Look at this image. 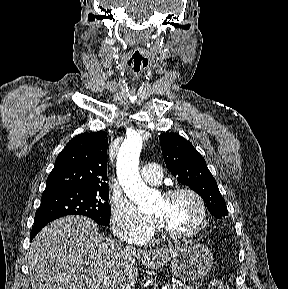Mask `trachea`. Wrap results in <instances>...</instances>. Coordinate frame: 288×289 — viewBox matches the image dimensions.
<instances>
[{
	"label": "trachea",
	"instance_id": "3493384b",
	"mask_svg": "<svg viewBox=\"0 0 288 289\" xmlns=\"http://www.w3.org/2000/svg\"><path fill=\"white\" fill-rule=\"evenodd\" d=\"M148 67V59L140 51L135 50L128 59V68L134 75H140Z\"/></svg>",
	"mask_w": 288,
	"mask_h": 289
}]
</instances>
